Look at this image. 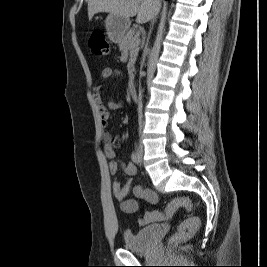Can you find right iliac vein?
<instances>
[{"label": "right iliac vein", "mask_w": 267, "mask_h": 267, "mask_svg": "<svg viewBox=\"0 0 267 267\" xmlns=\"http://www.w3.org/2000/svg\"><path fill=\"white\" fill-rule=\"evenodd\" d=\"M142 155H143V151H142V149H139V150H138V156H139V158H141Z\"/></svg>", "instance_id": "63e3f726"}]
</instances>
